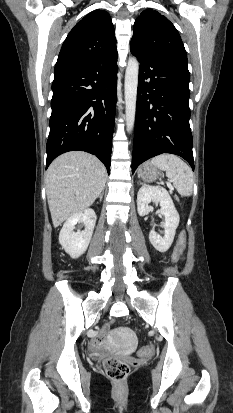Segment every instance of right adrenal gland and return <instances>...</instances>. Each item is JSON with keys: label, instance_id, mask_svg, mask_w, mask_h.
<instances>
[{"label": "right adrenal gland", "instance_id": "2a0ac1e0", "mask_svg": "<svg viewBox=\"0 0 233 413\" xmlns=\"http://www.w3.org/2000/svg\"><path fill=\"white\" fill-rule=\"evenodd\" d=\"M103 193H104V190H102V192H101L100 195L98 196V197L100 198V201H101L102 198H103Z\"/></svg>", "mask_w": 233, "mask_h": 413}]
</instances>
